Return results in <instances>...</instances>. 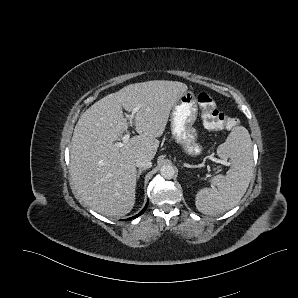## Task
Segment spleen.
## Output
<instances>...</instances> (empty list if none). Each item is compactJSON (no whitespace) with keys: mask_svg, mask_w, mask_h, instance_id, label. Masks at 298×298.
Wrapping results in <instances>:
<instances>
[{"mask_svg":"<svg viewBox=\"0 0 298 298\" xmlns=\"http://www.w3.org/2000/svg\"><path fill=\"white\" fill-rule=\"evenodd\" d=\"M217 155L230 158L231 166L226 175H216L212 179L214 188H203L195 198L199 212L217 215L237 205L245 194L252 176L253 149L248 130L235 126L224 143L217 147Z\"/></svg>","mask_w":298,"mask_h":298,"instance_id":"spleen-1","label":"spleen"}]
</instances>
